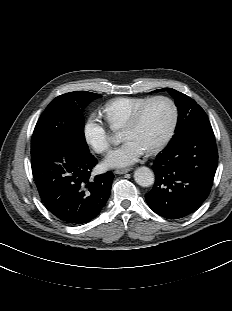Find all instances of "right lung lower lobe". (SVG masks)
<instances>
[{
    "label": "right lung lower lobe",
    "instance_id": "obj_1",
    "mask_svg": "<svg viewBox=\"0 0 232 311\" xmlns=\"http://www.w3.org/2000/svg\"><path fill=\"white\" fill-rule=\"evenodd\" d=\"M96 158L62 143L31 149L35 183L47 209L68 224H84L99 215L106 204L114 175L90 177Z\"/></svg>",
    "mask_w": 232,
    "mask_h": 311
}]
</instances>
